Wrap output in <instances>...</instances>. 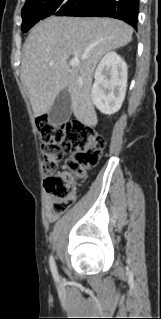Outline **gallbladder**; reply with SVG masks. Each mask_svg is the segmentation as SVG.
I'll use <instances>...</instances> for the list:
<instances>
[{"label":"gallbladder","instance_id":"1","mask_svg":"<svg viewBox=\"0 0 161 319\" xmlns=\"http://www.w3.org/2000/svg\"><path fill=\"white\" fill-rule=\"evenodd\" d=\"M71 96L67 89L62 90L48 112L49 121L53 124L65 123L71 116Z\"/></svg>","mask_w":161,"mask_h":319}]
</instances>
